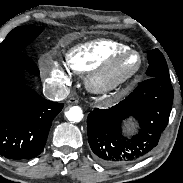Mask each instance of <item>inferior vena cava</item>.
Here are the masks:
<instances>
[{
	"label": "inferior vena cava",
	"instance_id": "1",
	"mask_svg": "<svg viewBox=\"0 0 183 183\" xmlns=\"http://www.w3.org/2000/svg\"><path fill=\"white\" fill-rule=\"evenodd\" d=\"M43 94L52 101H61L68 96L69 89L65 85H47L43 89Z\"/></svg>",
	"mask_w": 183,
	"mask_h": 183
}]
</instances>
